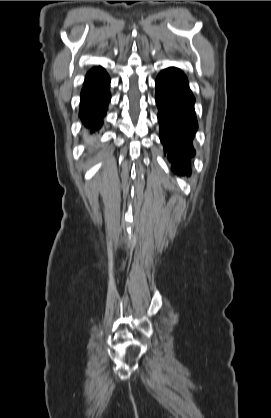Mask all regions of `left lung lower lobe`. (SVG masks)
Segmentation results:
<instances>
[{"instance_id":"1","label":"left lung lower lobe","mask_w":271,"mask_h":418,"mask_svg":"<svg viewBox=\"0 0 271 418\" xmlns=\"http://www.w3.org/2000/svg\"><path fill=\"white\" fill-rule=\"evenodd\" d=\"M156 104L159 109L160 140L177 175L191 173L189 158L194 156L192 140L198 129L195 98L185 74L170 67L156 78Z\"/></svg>"}]
</instances>
